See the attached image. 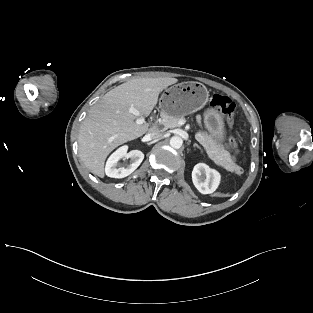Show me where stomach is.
Here are the masks:
<instances>
[{"instance_id":"0dacf381","label":"stomach","mask_w":313,"mask_h":313,"mask_svg":"<svg viewBox=\"0 0 313 313\" xmlns=\"http://www.w3.org/2000/svg\"><path fill=\"white\" fill-rule=\"evenodd\" d=\"M209 99L207 88L199 82H182L167 88L161 95L159 105L163 113L184 116L202 109ZM210 137L218 143L224 142L226 131L221 114L212 108L204 113Z\"/></svg>"}]
</instances>
